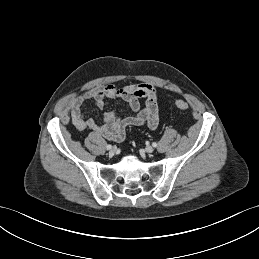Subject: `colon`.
<instances>
[{
	"instance_id": "obj_1",
	"label": "colon",
	"mask_w": 259,
	"mask_h": 259,
	"mask_svg": "<svg viewBox=\"0 0 259 259\" xmlns=\"http://www.w3.org/2000/svg\"><path fill=\"white\" fill-rule=\"evenodd\" d=\"M175 105L179 110H182V111H186L189 108L188 103L184 100H177L175 102Z\"/></svg>"
}]
</instances>
